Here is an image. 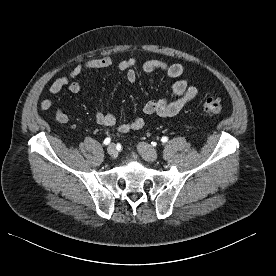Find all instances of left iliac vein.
Here are the masks:
<instances>
[{
	"instance_id": "obj_1",
	"label": "left iliac vein",
	"mask_w": 276,
	"mask_h": 276,
	"mask_svg": "<svg viewBox=\"0 0 276 276\" xmlns=\"http://www.w3.org/2000/svg\"><path fill=\"white\" fill-rule=\"evenodd\" d=\"M141 156L147 161H155L157 159V152L149 144L141 142L137 146Z\"/></svg>"
}]
</instances>
